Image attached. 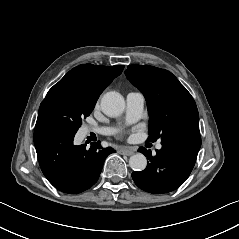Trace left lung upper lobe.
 Masks as SVG:
<instances>
[{"label":"left lung upper lobe","instance_id":"obj_1","mask_svg":"<svg viewBox=\"0 0 239 239\" xmlns=\"http://www.w3.org/2000/svg\"><path fill=\"white\" fill-rule=\"evenodd\" d=\"M128 79L143 93L150 116L147 141H156L182 130L199 131L194 99L169 71L148 65H130Z\"/></svg>","mask_w":239,"mask_h":239}]
</instances>
